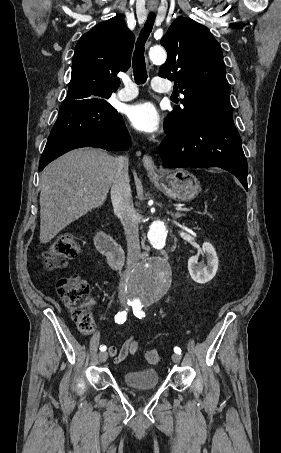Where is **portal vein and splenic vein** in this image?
<instances>
[{"label":"portal vein and splenic vein","instance_id":"portal-vein-and-splenic-vein-1","mask_svg":"<svg viewBox=\"0 0 281 453\" xmlns=\"http://www.w3.org/2000/svg\"><path fill=\"white\" fill-rule=\"evenodd\" d=\"M173 211L174 212H181V213H183V212H192V213H194V212L197 213L198 212L199 213L200 212L199 210L198 211L197 210L194 211L191 207H183V206L179 207V205H175L174 208H173Z\"/></svg>","mask_w":281,"mask_h":453}]
</instances>
